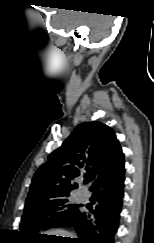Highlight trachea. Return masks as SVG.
<instances>
[{"instance_id": "trachea-1", "label": "trachea", "mask_w": 154, "mask_h": 243, "mask_svg": "<svg viewBox=\"0 0 154 243\" xmlns=\"http://www.w3.org/2000/svg\"><path fill=\"white\" fill-rule=\"evenodd\" d=\"M84 182L87 183V182H88V178H86V179L84 180Z\"/></svg>"}]
</instances>
